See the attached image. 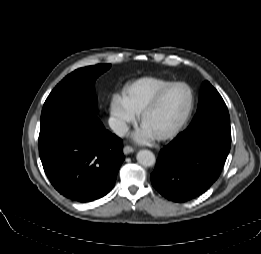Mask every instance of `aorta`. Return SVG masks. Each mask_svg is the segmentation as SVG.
Instances as JSON below:
<instances>
[{"label": "aorta", "instance_id": "aorta-1", "mask_svg": "<svg viewBox=\"0 0 261 254\" xmlns=\"http://www.w3.org/2000/svg\"><path fill=\"white\" fill-rule=\"evenodd\" d=\"M136 159L138 163L145 167H151L156 162L155 155L150 150H140L136 155Z\"/></svg>", "mask_w": 261, "mask_h": 254}]
</instances>
